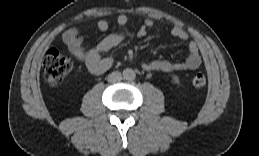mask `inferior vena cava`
I'll return each instance as SVG.
<instances>
[{
	"label": "inferior vena cava",
	"instance_id": "obj_1",
	"mask_svg": "<svg viewBox=\"0 0 259 156\" xmlns=\"http://www.w3.org/2000/svg\"><path fill=\"white\" fill-rule=\"evenodd\" d=\"M121 77H122L121 73L119 71H115L108 75L107 81L116 82V81L120 80Z\"/></svg>",
	"mask_w": 259,
	"mask_h": 156
}]
</instances>
